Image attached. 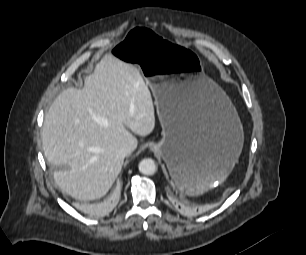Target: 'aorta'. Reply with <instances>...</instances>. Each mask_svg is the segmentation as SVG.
I'll return each instance as SVG.
<instances>
[{
	"label": "aorta",
	"mask_w": 306,
	"mask_h": 255,
	"mask_svg": "<svg viewBox=\"0 0 306 255\" xmlns=\"http://www.w3.org/2000/svg\"><path fill=\"white\" fill-rule=\"evenodd\" d=\"M139 171L144 175H153L157 171L156 163L151 158H146L140 161L138 165Z\"/></svg>",
	"instance_id": "762f6f07"
}]
</instances>
